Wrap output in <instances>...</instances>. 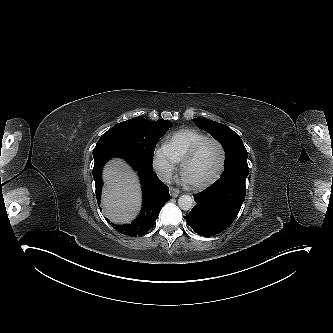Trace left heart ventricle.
<instances>
[{
    "instance_id": "obj_1",
    "label": "left heart ventricle",
    "mask_w": 333,
    "mask_h": 333,
    "mask_svg": "<svg viewBox=\"0 0 333 333\" xmlns=\"http://www.w3.org/2000/svg\"><path fill=\"white\" fill-rule=\"evenodd\" d=\"M220 163V150L216 143H205L185 167L184 174L191 183L205 181L217 171Z\"/></svg>"
}]
</instances>
